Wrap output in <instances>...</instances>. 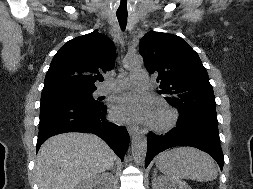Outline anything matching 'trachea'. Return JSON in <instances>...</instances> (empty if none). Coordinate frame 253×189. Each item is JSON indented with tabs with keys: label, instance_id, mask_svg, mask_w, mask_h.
I'll return each instance as SVG.
<instances>
[{
	"label": "trachea",
	"instance_id": "obj_1",
	"mask_svg": "<svg viewBox=\"0 0 253 189\" xmlns=\"http://www.w3.org/2000/svg\"><path fill=\"white\" fill-rule=\"evenodd\" d=\"M116 16L121 29L124 30L127 24V14H116Z\"/></svg>",
	"mask_w": 253,
	"mask_h": 189
}]
</instances>
